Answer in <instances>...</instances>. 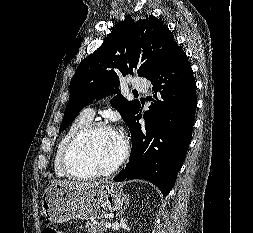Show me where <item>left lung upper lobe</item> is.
I'll return each instance as SVG.
<instances>
[{"label": "left lung upper lobe", "instance_id": "obj_1", "mask_svg": "<svg viewBox=\"0 0 253 233\" xmlns=\"http://www.w3.org/2000/svg\"><path fill=\"white\" fill-rule=\"evenodd\" d=\"M175 44L171 31L155 16L146 19L127 16L119 22L103 44L77 67L60 131L93 100L120 93L121 76L137 71L138 76L148 79L156 74ZM110 103L130 126L139 102L128 101L118 94Z\"/></svg>", "mask_w": 253, "mask_h": 233}]
</instances>
